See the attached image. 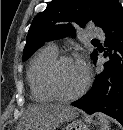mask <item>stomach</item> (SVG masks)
Returning a JSON list of instances; mask_svg holds the SVG:
<instances>
[{"instance_id": "1", "label": "stomach", "mask_w": 123, "mask_h": 130, "mask_svg": "<svg viewBox=\"0 0 123 130\" xmlns=\"http://www.w3.org/2000/svg\"><path fill=\"white\" fill-rule=\"evenodd\" d=\"M88 124L81 120H74L64 130H88Z\"/></svg>"}]
</instances>
